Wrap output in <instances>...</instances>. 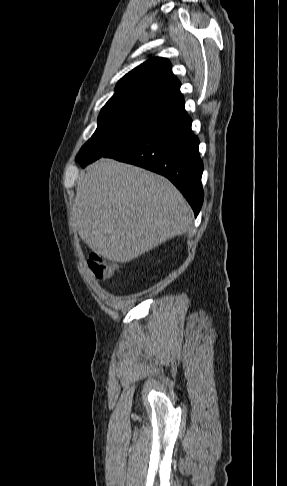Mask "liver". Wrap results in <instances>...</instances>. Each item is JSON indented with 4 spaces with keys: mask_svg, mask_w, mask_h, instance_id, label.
<instances>
[{
    "mask_svg": "<svg viewBox=\"0 0 287 486\" xmlns=\"http://www.w3.org/2000/svg\"><path fill=\"white\" fill-rule=\"evenodd\" d=\"M73 218L88 247L118 263L138 258L192 224L190 207L168 179L109 158L79 178Z\"/></svg>",
    "mask_w": 287,
    "mask_h": 486,
    "instance_id": "liver-1",
    "label": "liver"
}]
</instances>
